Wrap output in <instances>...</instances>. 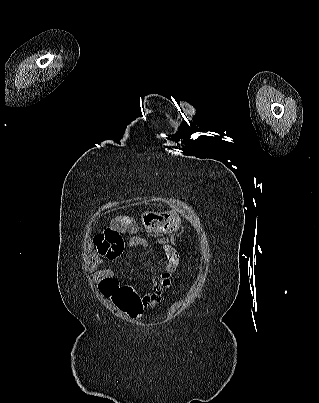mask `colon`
I'll return each mask as SVG.
<instances>
[{
  "label": "colon",
  "instance_id": "colon-1",
  "mask_svg": "<svg viewBox=\"0 0 319 403\" xmlns=\"http://www.w3.org/2000/svg\"><path fill=\"white\" fill-rule=\"evenodd\" d=\"M114 224V223H113ZM148 229H150V228H148ZM95 237V236H94ZM93 240H94V238H93ZM164 264H165V260H162L161 262H160V265L161 266H158L157 267V272H162V270H163V268H164ZM153 274V273H152ZM152 282H149V285L151 284ZM173 284H174V281H173V278H172V282H171V284H170V286L169 287H173ZM149 285H148V287H149ZM168 288V287H167ZM167 288H163V290L162 291H167Z\"/></svg>",
  "mask_w": 319,
  "mask_h": 403
}]
</instances>
